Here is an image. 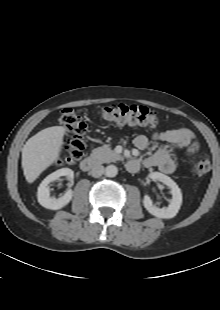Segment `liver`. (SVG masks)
Returning a JSON list of instances; mask_svg holds the SVG:
<instances>
[{"mask_svg":"<svg viewBox=\"0 0 220 310\" xmlns=\"http://www.w3.org/2000/svg\"><path fill=\"white\" fill-rule=\"evenodd\" d=\"M66 131L63 126L48 127L28 139L22 149V168L28 183L59 158Z\"/></svg>","mask_w":220,"mask_h":310,"instance_id":"liver-1","label":"liver"}]
</instances>
